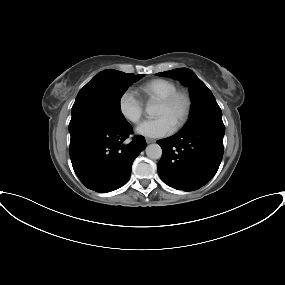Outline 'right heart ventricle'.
I'll return each instance as SVG.
<instances>
[{"label":"right heart ventricle","mask_w":285,"mask_h":285,"mask_svg":"<svg viewBox=\"0 0 285 285\" xmlns=\"http://www.w3.org/2000/svg\"><path fill=\"white\" fill-rule=\"evenodd\" d=\"M177 88V84L170 79L156 78L142 84L138 91L147 100L159 101Z\"/></svg>","instance_id":"1"}]
</instances>
